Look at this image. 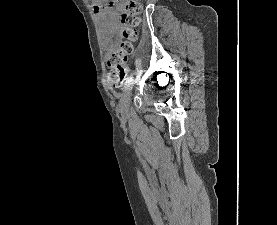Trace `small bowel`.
Returning a JSON list of instances; mask_svg holds the SVG:
<instances>
[{
	"instance_id": "obj_1",
	"label": "small bowel",
	"mask_w": 277,
	"mask_h": 225,
	"mask_svg": "<svg viewBox=\"0 0 277 225\" xmlns=\"http://www.w3.org/2000/svg\"><path fill=\"white\" fill-rule=\"evenodd\" d=\"M123 8H124V3H120L118 5V9H123ZM94 9L98 18L104 21L103 25L111 29L116 34L117 33L116 19L118 17L117 11L104 7L101 4L94 5Z\"/></svg>"
}]
</instances>
